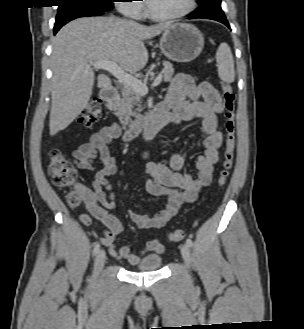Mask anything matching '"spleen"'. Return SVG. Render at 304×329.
<instances>
[{"label": "spleen", "mask_w": 304, "mask_h": 329, "mask_svg": "<svg viewBox=\"0 0 304 329\" xmlns=\"http://www.w3.org/2000/svg\"><path fill=\"white\" fill-rule=\"evenodd\" d=\"M216 61L218 64V75L220 79L226 83L234 82V60L231 49L227 43H221L218 47Z\"/></svg>", "instance_id": "1"}]
</instances>
